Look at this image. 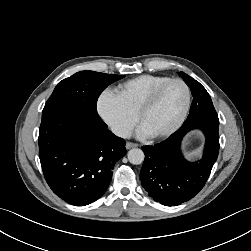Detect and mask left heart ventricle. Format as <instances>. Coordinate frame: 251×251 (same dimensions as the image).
Here are the masks:
<instances>
[{"label": "left heart ventricle", "instance_id": "1", "mask_svg": "<svg viewBox=\"0 0 251 251\" xmlns=\"http://www.w3.org/2000/svg\"><path fill=\"white\" fill-rule=\"evenodd\" d=\"M186 101V92L180 83H172L161 93L155 105L145 113L141 126L154 135L170 128L179 118Z\"/></svg>", "mask_w": 251, "mask_h": 251}]
</instances>
